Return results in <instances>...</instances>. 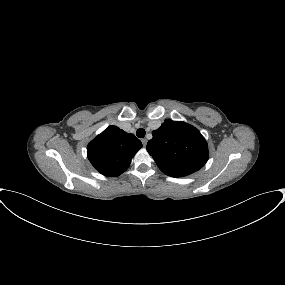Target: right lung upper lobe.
<instances>
[{"label":"right lung upper lobe","instance_id":"right-lung-upper-lobe-1","mask_svg":"<svg viewBox=\"0 0 285 285\" xmlns=\"http://www.w3.org/2000/svg\"><path fill=\"white\" fill-rule=\"evenodd\" d=\"M140 148L142 143L133 134L109 126L89 143L87 155L101 174L113 177L127 170Z\"/></svg>","mask_w":285,"mask_h":285}]
</instances>
